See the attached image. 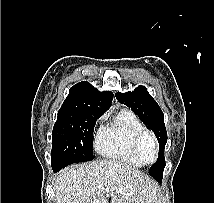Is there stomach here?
Instances as JSON below:
<instances>
[{"label": "stomach", "mask_w": 214, "mask_h": 203, "mask_svg": "<svg viewBox=\"0 0 214 203\" xmlns=\"http://www.w3.org/2000/svg\"><path fill=\"white\" fill-rule=\"evenodd\" d=\"M151 203H160V202H158V201H157V199H156V200H154V201H153V202H151Z\"/></svg>", "instance_id": "0dacf381"}]
</instances>
